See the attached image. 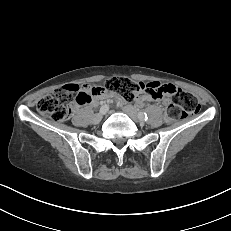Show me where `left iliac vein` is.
Returning a JSON list of instances; mask_svg holds the SVG:
<instances>
[{
  "instance_id": "left-iliac-vein-1",
  "label": "left iliac vein",
  "mask_w": 231,
  "mask_h": 231,
  "mask_svg": "<svg viewBox=\"0 0 231 231\" xmlns=\"http://www.w3.org/2000/svg\"><path fill=\"white\" fill-rule=\"evenodd\" d=\"M123 111L128 114L134 121L139 122V123H143V119H141L139 117V113L137 112V110L131 106V105H126L123 107Z\"/></svg>"
}]
</instances>
